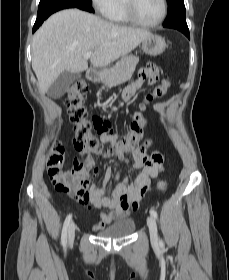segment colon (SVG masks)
<instances>
[{
	"label": "colon",
	"instance_id": "5ec220e1",
	"mask_svg": "<svg viewBox=\"0 0 229 280\" xmlns=\"http://www.w3.org/2000/svg\"><path fill=\"white\" fill-rule=\"evenodd\" d=\"M151 66V65H149ZM69 119L74 124V142L81 155L93 154L96 156H110L99 138L91 133L92 128L97 127L101 132L110 133L112 128L109 122L88 118L84 106L87 94V85L83 80L73 82L67 91ZM145 119L141 114H136L128 132L123 137L120 148L126 150L135 149L144 136ZM65 162V149L61 142H56L52 148L47 162V169L50 178L57 180L60 190L74 192L76 187L60 178L59 172ZM81 163H84L81 160ZM164 165V156L159 151L151 152L144 160V166L151 172H159ZM92 178L85 181L84 187L91 185ZM168 181H160L156 185V190H164ZM149 183L139 190V195L143 196L149 189ZM138 206V201H133Z\"/></svg>",
	"mask_w": 229,
	"mask_h": 280
}]
</instances>
